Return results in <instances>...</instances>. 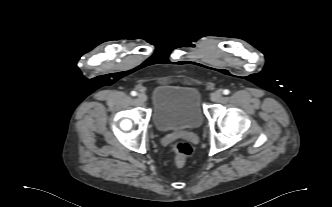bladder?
Masks as SVG:
<instances>
[{
    "label": "bladder",
    "mask_w": 332,
    "mask_h": 207,
    "mask_svg": "<svg viewBox=\"0 0 332 207\" xmlns=\"http://www.w3.org/2000/svg\"><path fill=\"white\" fill-rule=\"evenodd\" d=\"M204 114L200 92L194 87L159 85L152 93V122L161 132L196 129Z\"/></svg>",
    "instance_id": "31cf9c89"
}]
</instances>
